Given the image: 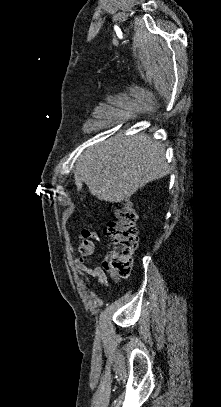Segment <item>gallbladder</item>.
I'll use <instances>...</instances> for the list:
<instances>
[{
  "mask_svg": "<svg viewBox=\"0 0 221 407\" xmlns=\"http://www.w3.org/2000/svg\"><path fill=\"white\" fill-rule=\"evenodd\" d=\"M77 187H78V190H80L81 187H82V183H81V182H78V183H77Z\"/></svg>",
  "mask_w": 221,
  "mask_h": 407,
  "instance_id": "bac80fb5",
  "label": "gallbladder"
}]
</instances>
